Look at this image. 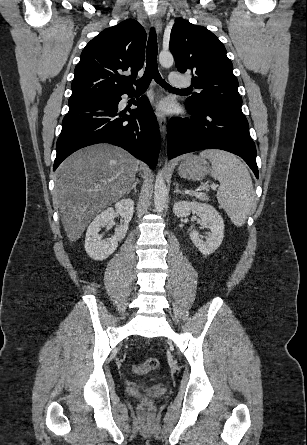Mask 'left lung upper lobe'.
<instances>
[{"label": "left lung upper lobe", "mask_w": 307, "mask_h": 445, "mask_svg": "<svg viewBox=\"0 0 307 445\" xmlns=\"http://www.w3.org/2000/svg\"><path fill=\"white\" fill-rule=\"evenodd\" d=\"M170 51L179 72L194 73L192 84L200 90L186 99L187 109L198 112L223 108L242 112V99L233 65L219 39L203 26L177 18L170 35Z\"/></svg>", "instance_id": "left-lung-upper-lobe-1"}]
</instances>
